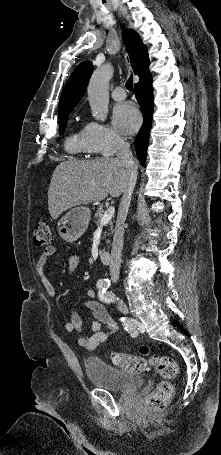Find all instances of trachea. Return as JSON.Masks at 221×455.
Returning <instances> with one entry per match:
<instances>
[{
	"label": "trachea",
	"mask_w": 221,
	"mask_h": 455,
	"mask_svg": "<svg viewBox=\"0 0 221 455\" xmlns=\"http://www.w3.org/2000/svg\"><path fill=\"white\" fill-rule=\"evenodd\" d=\"M125 86H126V88H127L129 91H132V89H133V76H132V74L130 75L129 79L127 80Z\"/></svg>",
	"instance_id": "trachea-1"
}]
</instances>
